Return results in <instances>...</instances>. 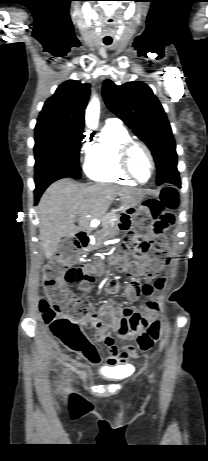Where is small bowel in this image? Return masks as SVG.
Returning a JSON list of instances; mask_svg holds the SVG:
<instances>
[{"mask_svg":"<svg viewBox=\"0 0 208 461\" xmlns=\"http://www.w3.org/2000/svg\"><path fill=\"white\" fill-rule=\"evenodd\" d=\"M124 212L126 214H120L119 217L121 222H131L133 217L138 214L137 209H133L131 204L124 207ZM167 239L174 241L176 234L168 233ZM130 254L143 265L150 263L148 256L143 252L132 250ZM164 284V278L157 279L154 284L141 283L134 279L124 286L115 280H109L105 284V290L108 293H121L128 301H135L139 296L144 295L149 297V301L137 312L132 309L121 311L113 301H106L98 308L97 312L94 311L91 316L80 320L83 327L96 330L94 340L105 343L107 348L106 365L120 367L122 375L130 368L129 360L136 356V352L134 347L130 345L122 348L117 347L112 334L124 340L137 339L145 320L151 321L158 314L157 293L163 289ZM127 310H131V313L127 314ZM73 350L79 352L91 364H98L102 361V355L93 342L83 349Z\"/></svg>","mask_w":208,"mask_h":461,"instance_id":"c3829d8e","label":"small bowel"}]
</instances>
